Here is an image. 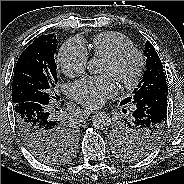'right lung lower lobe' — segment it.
Listing matches in <instances>:
<instances>
[{
	"mask_svg": "<svg viewBox=\"0 0 184 184\" xmlns=\"http://www.w3.org/2000/svg\"><path fill=\"white\" fill-rule=\"evenodd\" d=\"M14 111L18 131L31 152L55 143L58 132L68 124L50 112L49 104L24 101L15 104Z\"/></svg>",
	"mask_w": 184,
	"mask_h": 184,
	"instance_id": "obj_1",
	"label": "right lung lower lobe"
}]
</instances>
